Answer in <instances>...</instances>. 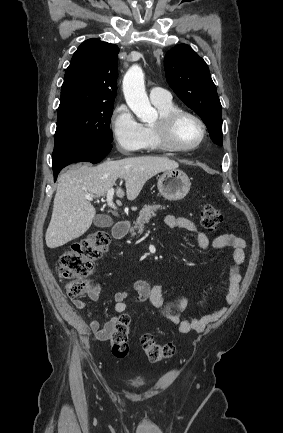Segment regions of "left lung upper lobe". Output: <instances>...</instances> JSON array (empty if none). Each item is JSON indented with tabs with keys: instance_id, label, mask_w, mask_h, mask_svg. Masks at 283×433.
Returning <instances> with one entry per match:
<instances>
[{
	"instance_id": "5c2ea615",
	"label": "left lung upper lobe",
	"mask_w": 283,
	"mask_h": 433,
	"mask_svg": "<svg viewBox=\"0 0 283 433\" xmlns=\"http://www.w3.org/2000/svg\"><path fill=\"white\" fill-rule=\"evenodd\" d=\"M164 68L170 87L201 117L213 142L222 146V107L205 61L190 46L179 44L166 53Z\"/></svg>"
}]
</instances>
